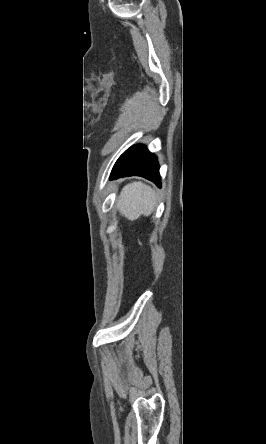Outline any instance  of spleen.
<instances>
[{
    "label": "spleen",
    "mask_w": 266,
    "mask_h": 444,
    "mask_svg": "<svg viewBox=\"0 0 266 444\" xmlns=\"http://www.w3.org/2000/svg\"><path fill=\"white\" fill-rule=\"evenodd\" d=\"M117 202L121 214L133 221L140 215L149 216L156 206L157 197L150 186L132 182L123 187Z\"/></svg>",
    "instance_id": "3e777b00"
}]
</instances>
